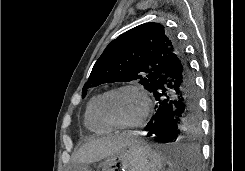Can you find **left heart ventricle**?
<instances>
[{
    "label": "left heart ventricle",
    "mask_w": 245,
    "mask_h": 171,
    "mask_svg": "<svg viewBox=\"0 0 245 171\" xmlns=\"http://www.w3.org/2000/svg\"><path fill=\"white\" fill-rule=\"evenodd\" d=\"M144 102L134 90H122L110 95L105 103L107 115L115 122L128 124L140 118Z\"/></svg>",
    "instance_id": "1"
}]
</instances>
